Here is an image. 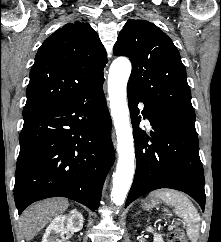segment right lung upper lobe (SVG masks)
Segmentation results:
<instances>
[{
  "instance_id": "obj_1",
  "label": "right lung upper lobe",
  "mask_w": 221,
  "mask_h": 242,
  "mask_svg": "<svg viewBox=\"0 0 221 242\" xmlns=\"http://www.w3.org/2000/svg\"><path fill=\"white\" fill-rule=\"evenodd\" d=\"M106 51L94 29L65 24L39 48L30 71L23 115L65 104L104 79Z\"/></svg>"
}]
</instances>
